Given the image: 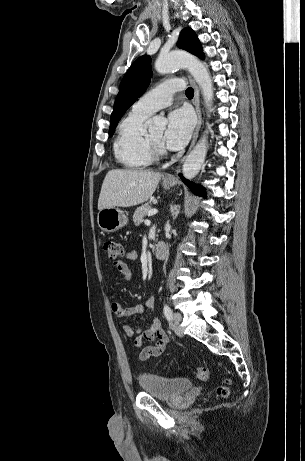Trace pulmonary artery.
<instances>
[{
    "instance_id": "1",
    "label": "pulmonary artery",
    "mask_w": 305,
    "mask_h": 461,
    "mask_svg": "<svg viewBox=\"0 0 305 461\" xmlns=\"http://www.w3.org/2000/svg\"><path fill=\"white\" fill-rule=\"evenodd\" d=\"M183 88L184 83L181 79L167 80L140 97L134 103L133 110L150 115L159 109L169 106L172 102L173 94L182 91Z\"/></svg>"
}]
</instances>
